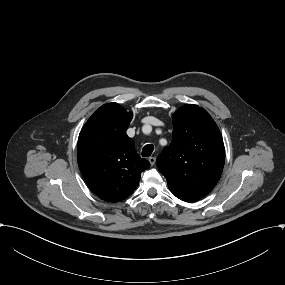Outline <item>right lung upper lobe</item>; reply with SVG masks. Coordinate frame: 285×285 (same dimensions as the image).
Returning a JSON list of instances; mask_svg holds the SVG:
<instances>
[{
  "label": "right lung upper lobe",
  "instance_id": "1",
  "mask_svg": "<svg viewBox=\"0 0 285 285\" xmlns=\"http://www.w3.org/2000/svg\"><path fill=\"white\" fill-rule=\"evenodd\" d=\"M133 113L119 104L103 105L83 126L77 145L79 168L91 190L109 202L122 201L137 188L150 163L126 135Z\"/></svg>",
  "mask_w": 285,
  "mask_h": 285
}]
</instances>
